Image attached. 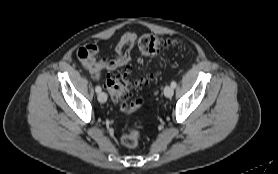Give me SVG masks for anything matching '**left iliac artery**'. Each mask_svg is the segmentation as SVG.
<instances>
[{
	"label": "left iliac artery",
	"instance_id": "44dca946",
	"mask_svg": "<svg viewBox=\"0 0 278 174\" xmlns=\"http://www.w3.org/2000/svg\"><path fill=\"white\" fill-rule=\"evenodd\" d=\"M176 86H177V83L175 81H172L171 82V87L176 88Z\"/></svg>",
	"mask_w": 278,
	"mask_h": 174
}]
</instances>
